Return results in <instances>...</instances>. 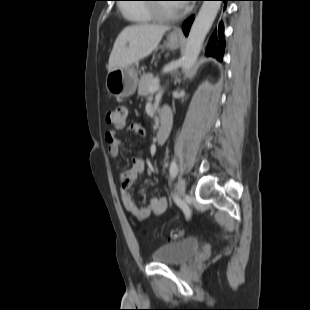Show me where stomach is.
I'll list each match as a JSON object with an SVG mask.
<instances>
[{
	"label": "stomach",
	"mask_w": 310,
	"mask_h": 310,
	"mask_svg": "<svg viewBox=\"0 0 310 310\" xmlns=\"http://www.w3.org/2000/svg\"><path fill=\"white\" fill-rule=\"evenodd\" d=\"M180 42V38L171 34L168 36L167 46L175 49L179 46ZM137 84V71L132 65L110 71L106 77V88L108 92L118 98L133 95L136 91Z\"/></svg>",
	"instance_id": "1"
}]
</instances>
